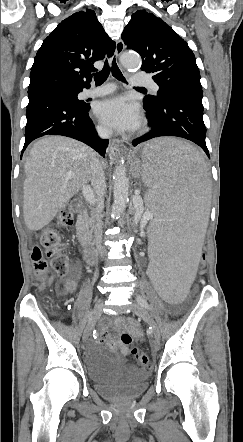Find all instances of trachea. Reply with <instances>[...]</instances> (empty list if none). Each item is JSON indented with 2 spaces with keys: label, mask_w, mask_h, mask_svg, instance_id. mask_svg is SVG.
I'll use <instances>...</instances> for the list:
<instances>
[{
  "label": "trachea",
  "mask_w": 243,
  "mask_h": 442,
  "mask_svg": "<svg viewBox=\"0 0 243 442\" xmlns=\"http://www.w3.org/2000/svg\"><path fill=\"white\" fill-rule=\"evenodd\" d=\"M110 72L112 73V75L116 79H118L122 82H126L124 76L122 75L119 67L116 64V60L114 57V59L112 60L111 66L109 65L108 60L106 59L103 69L100 72L94 74V81H95L96 85H101L102 83H104L107 80ZM137 88L138 89H145L143 87H137Z\"/></svg>",
  "instance_id": "trachea-1"
}]
</instances>
